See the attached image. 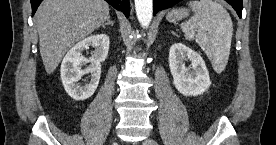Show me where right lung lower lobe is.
Returning <instances> with one entry per match:
<instances>
[{"mask_svg":"<svg viewBox=\"0 0 276 145\" xmlns=\"http://www.w3.org/2000/svg\"><path fill=\"white\" fill-rule=\"evenodd\" d=\"M42 0H31V6H32V15L37 10V7L41 3ZM107 1L110 5H112L115 9L122 11L125 16L128 18L130 14V5H129V0H105Z\"/></svg>","mask_w":276,"mask_h":145,"instance_id":"obj_1","label":"right lung lower lobe"}]
</instances>
